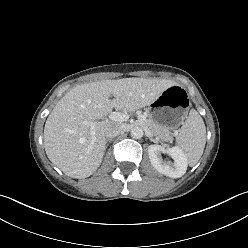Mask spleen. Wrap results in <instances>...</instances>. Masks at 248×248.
<instances>
[{"instance_id":"obj_1","label":"spleen","mask_w":248,"mask_h":248,"mask_svg":"<svg viewBox=\"0 0 248 248\" xmlns=\"http://www.w3.org/2000/svg\"><path fill=\"white\" fill-rule=\"evenodd\" d=\"M180 148L190 166L197 164L201 158L206 144V127L199 113L192 109L176 137Z\"/></svg>"}]
</instances>
